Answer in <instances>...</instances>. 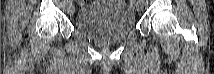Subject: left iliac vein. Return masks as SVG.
<instances>
[{
	"mask_svg": "<svg viewBox=\"0 0 214 74\" xmlns=\"http://www.w3.org/2000/svg\"><path fill=\"white\" fill-rule=\"evenodd\" d=\"M136 10L140 11L142 9L141 1H138L135 5Z\"/></svg>",
	"mask_w": 214,
	"mask_h": 74,
	"instance_id": "left-iliac-vein-1",
	"label": "left iliac vein"
}]
</instances>
